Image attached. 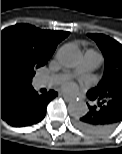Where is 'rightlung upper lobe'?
Segmentation results:
<instances>
[{
	"mask_svg": "<svg viewBox=\"0 0 122 154\" xmlns=\"http://www.w3.org/2000/svg\"><path fill=\"white\" fill-rule=\"evenodd\" d=\"M68 35L69 32L65 31L41 30L28 24H17L1 31V45L11 43L36 64L43 66L57 44ZM28 85L24 79L8 73L1 65V96Z\"/></svg>",
	"mask_w": 122,
	"mask_h": 154,
	"instance_id": "cb5924a9",
	"label": "right lung upper lobe"
}]
</instances>
